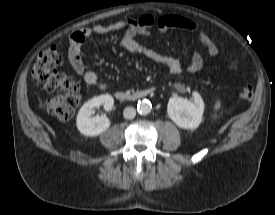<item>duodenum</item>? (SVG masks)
<instances>
[{
	"instance_id": "duodenum-1",
	"label": "duodenum",
	"mask_w": 275,
	"mask_h": 215,
	"mask_svg": "<svg viewBox=\"0 0 275 215\" xmlns=\"http://www.w3.org/2000/svg\"><path fill=\"white\" fill-rule=\"evenodd\" d=\"M155 91V87H149L131 93L120 90L115 93V97L117 100L122 102H131L146 98L153 94Z\"/></svg>"
}]
</instances>
